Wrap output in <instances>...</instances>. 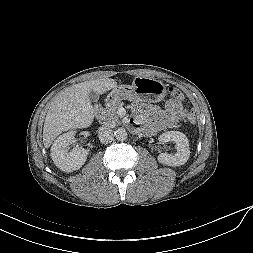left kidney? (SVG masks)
Here are the masks:
<instances>
[{"instance_id": "obj_1", "label": "left kidney", "mask_w": 253, "mask_h": 253, "mask_svg": "<svg viewBox=\"0 0 253 253\" xmlns=\"http://www.w3.org/2000/svg\"><path fill=\"white\" fill-rule=\"evenodd\" d=\"M160 143H176L175 154L161 153L158 155V161L167 166H180L187 162L190 156L189 141L185 134L179 131H168L161 134L158 138Z\"/></svg>"}]
</instances>
